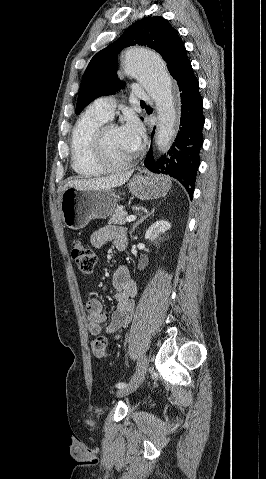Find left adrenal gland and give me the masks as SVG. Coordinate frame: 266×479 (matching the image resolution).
<instances>
[{
  "instance_id": "1",
  "label": "left adrenal gland",
  "mask_w": 266,
  "mask_h": 479,
  "mask_svg": "<svg viewBox=\"0 0 266 479\" xmlns=\"http://www.w3.org/2000/svg\"><path fill=\"white\" fill-rule=\"evenodd\" d=\"M154 208L151 210V212L147 213L146 215L142 216L137 222L133 225L132 230L130 231V236L132 237V233L135 231L136 227L144 222L148 217H150L154 213Z\"/></svg>"
}]
</instances>
